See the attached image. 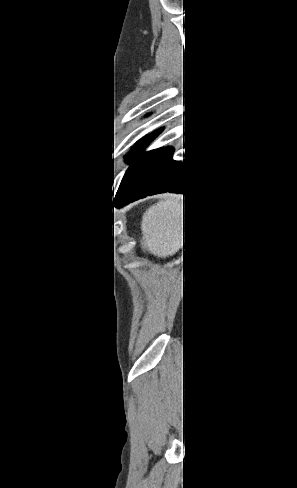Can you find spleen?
Wrapping results in <instances>:
<instances>
[{"instance_id":"3e777b00","label":"spleen","mask_w":297,"mask_h":488,"mask_svg":"<svg viewBox=\"0 0 297 488\" xmlns=\"http://www.w3.org/2000/svg\"><path fill=\"white\" fill-rule=\"evenodd\" d=\"M179 198L172 197L151 206L143 215L142 248L166 257L177 248Z\"/></svg>"}]
</instances>
